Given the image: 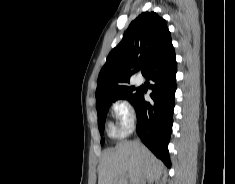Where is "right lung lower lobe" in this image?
<instances>
[{"label": "right lung lower lobe", "mask_w": 235, "mask_h": 184, "mask_svg": "<svg viewBox=\"0 0 235 184\" xmlns=\"http://www.w3.org/2000/svg\"><path fill=\"white\" fill-rule=\"evenodd\" d=\"M176 71L173 52L145 75V78L152 80L150 97L153 102H146L144 92L140 91L132 103L137 115L136 131L139 137L167 167L171 166L168 143L172 132Z\"/></svg>", "instance_id": "98d812e1"}]
</instances>
